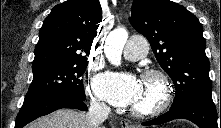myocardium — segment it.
Listing matches in <instances>:
<instances>
[{
  "label": "myocardium",
  "mask_w": 221,
  "mask_h": 128,
  "mask_svg": "<svg viewBox=\"0 0 221 128\" xmlns=\"http://www.w3.org/2000/svg\"><path fill=\"white\" fill-rule=\"evenodd\" d=\"M144 81H150L157 85L158 92L153 103L148 108L131 107L130 112L138 118H148L160 115L169 105L172 97V87L168 76L155 69L144 72Z\"/></svg>",
  "instance_id": "myocardium-1"
}]
</instances>
